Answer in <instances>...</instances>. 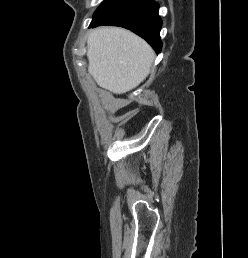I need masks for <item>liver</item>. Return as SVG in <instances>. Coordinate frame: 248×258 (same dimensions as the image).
<instances>
[{
    "mask_svg": "<svg viewBox=\"0 0 248 258\" xmlns=\"http://www.w3.org/2000/svg\"><path fill=\"white\" fill-rule=\"evenodd\" d=\"M88 72L96 83L115 94L126 93L143 82L155 53L132 32L118 27H100L89 34Z\"/></svg>",
    "mask_w": 248,
    "mask_h": 258,
    "instance_id": "6515ba94",
    "label": "liver"
}]
</instances>
